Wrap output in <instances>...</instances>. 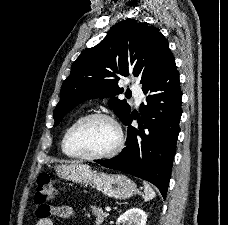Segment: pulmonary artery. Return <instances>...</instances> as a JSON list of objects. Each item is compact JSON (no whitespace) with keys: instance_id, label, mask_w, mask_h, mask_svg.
Segmentation results:
<instances>
[{"instance_id":"e3ab8cb5","label":"pulmonary artery","mask_w":228,"mask_h":225,"mask_svg":"<svg viewBox=\"0 0 228 225\" xmlns=\"http://www.w3.org/2000/svg\"><path fill=\"white\" fill-rule=\"evenodd\" d=\"M131 90L134 95L135 104L138 106L144 99V94L140 85H131Z\"/></svg>"}]
</instances>
